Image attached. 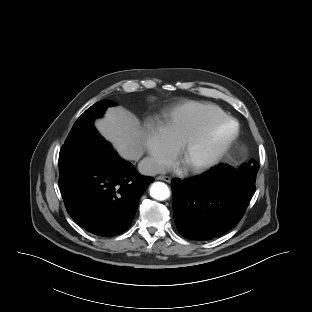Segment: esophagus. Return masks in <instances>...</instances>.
I'll list each match as a JSON object with an SVG mask.
<instances>
[{
  "mask_svg": "<svg viewBox=\"0 0 312 312\" xmlns=\"http://www.w3.org/2000/svg\"><path fill=\"white\" fill-rule=\"evenodd\" d=\"M156 179H157V180H163V181H165V182H167V183H170V182H171V178L168 177V176H158Z\"/></svg>",
  "mask_w": 312,
  "mask_h": 312,
  "instance_id": "1",
  "label": "esophagus"
}]
</instances>
